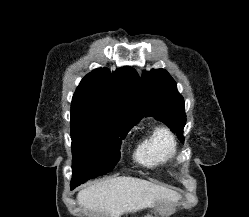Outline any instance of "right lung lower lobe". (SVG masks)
I'll list each match as a JSON object with an SVG mask.
<instances>
[{
    "instance_id": "98d812e1",
    "label": "right lung lower lobe",
    "mask_w": 249,
    "mask_h": 217,
    "mask_svg": "<svg viewBox=\"0 0 249 217\" xmlns=\"http://www.w3.org/2000/svg\"><path fill=\"white\" fill-rule=\"evenodd\" d=\"M73 170H74V166H73ZM81 183H84V179L73 177L71 181V189H74L76 186L80 185Z\"/></svg>"
}]
</instances>
